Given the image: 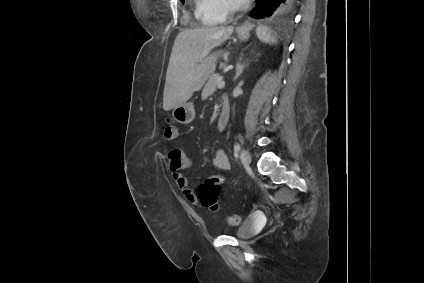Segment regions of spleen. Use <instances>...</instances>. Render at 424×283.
Instances as JSON below:
<instances>
[{
  "instance_id": "obj_1",
  "label": "spleen",
  "mask_w": 424,
  "mask_h": 283,
  "mask_svg": "<svg viewBox=\"0 0 424 283\" xmlns=\"http://www.w3.org/2000/svg\"><path fill=\"white\" fill-rule=\"evenodd\" d=\"M259 37L261 41L268 44L277 43V39L273 36L272 32L267 27H261L259 29Z\"/></svg>"
}]
</instances>
